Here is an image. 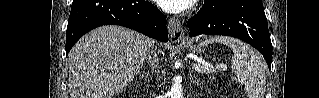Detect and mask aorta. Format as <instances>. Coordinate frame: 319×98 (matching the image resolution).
<instances>
[{
    "label": "aorta",
    "mask_w": 319,
    "mask_h": 98,
    "mask_svg": "<svg viewBox=\"0 0 319 98\" xmlns=\"http://www.w3.org/2000/svg\"><path fill=\"white\" fill-rule=\"evenodd\" d=\"M170 98H182V85L178 79H174L169 92Z\"/></svg>",
    "instance_id": "aorta-1"
}]
</instances>
